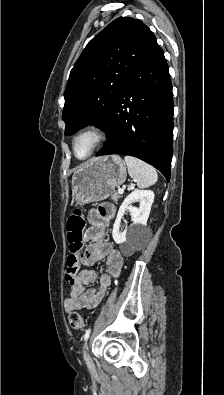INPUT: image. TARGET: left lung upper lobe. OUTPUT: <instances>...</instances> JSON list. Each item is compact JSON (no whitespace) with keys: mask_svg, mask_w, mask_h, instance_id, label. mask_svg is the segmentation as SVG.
<instances>
[{"mask_svg":"<svg viewBox=\"0 0 224 395\" xmlns=\"http://www.w3.org/2000/svg\"><path fill=\"white\" fill-rule=\"evenodd\" d=\"M156 44L152 31L131 17L117 18L97 34L70 72L62 114L66 134L88 122L103 129L124 85Z\"/></svg>","mask_w":224,"mask_h":395,"instance_id":"left-lung-upper-lobe-1","label":"left lung upper lobe"}]
</instances>
